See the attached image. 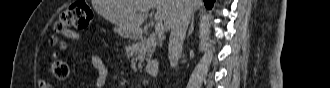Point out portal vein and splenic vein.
Returning a JSON list of instances; mask_svg holds the SVG:
<instances>
[{"label": "portal vein and splenic vein", "instance_id": "obj_1", "mask_svg": "<svg viewBox=\"0 0 330 88\" xmlns=\"http://www.w3.org/2000/svg\"><path fill=\"white\" fill-rule=\"evenodd\" d=\"M143 11H147V10L143 9ZM163 33H164V29H163V24H162V22H157V23L155 24V34H156L157 36H160V35H163Z\"/></svg>", "mask_w": 330, "mask_h": 88}]
</instances>
